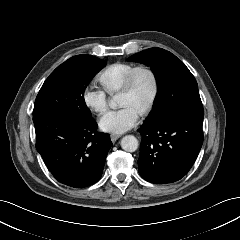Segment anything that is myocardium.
Segmentation results:
<instances>
[{
    "label": "myocardium",
    "mask_w": 240,
    "mask_h": 240,
    "mask_svg": "<svg viewBox=\"0 0 240 240\" xmlns=\"http://www.w3.org/2000/svg\"><path fill=\"white\" fill-rule=\"evenodd\" d=\"M140 72H146L150 75L153 83V91L145 108L139 113L141 117L148 115L156 105L160 93V82L157 73L148 65L140 64L135 66L126 76L125 81L118 94L129 93L133 89L135 77Z\"/></svg>",
    "instance_id": "1"
}]
</instances>
